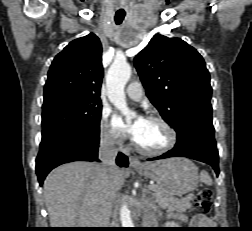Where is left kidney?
<instances>
[{
  "mask_svg": "<svg viewBox=\"0 0 252 231\" xmlns=\"http://www.w3.org/2000/svg\"><path fill=\"white\" fill-rule=\"evenodd\" d=\"M167 225H169V226L172 227V228H178V227H179V224H178V223H175L174 221L168 222Z\"/></svg>",
  "mask_w": 252,
  "mask_h": 231,
  "instance_id": "obj_1",
  "label": "left kidney"
}]
</instances>
